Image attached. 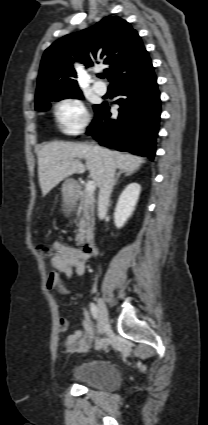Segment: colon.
Returning a JSON list of instances; mask_svg holds the SVG:
<instances>
[{
    "label": "colon",
    "instance_id": "5ec220e1",
    "mask_svg": "<svg viewBox=\"0 0 208 425\" xmlns=\"http://www.w3.org/2000/svg\"><path fill=\"white\" fill-rule=\"evenodd\" d=\"M40 253L44 256V257H51L55 255V251L52 247H50L47 244H41L38 246Z\"/></svg>",
    "mask_w": 208,
    "mask_h": 425
}]
</instances>
